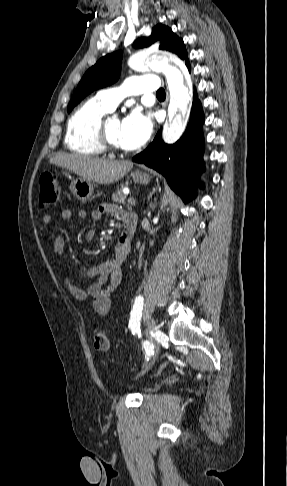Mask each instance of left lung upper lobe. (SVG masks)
<instances>
[{
	"label": "left lung upper lobe",
	"instance_id": "1",
	"mask_svg": "<svg viewBox=\"0 0 287 486\" xmlns=\"http://www.w3.org/2000/svg\"><path fill=\"white\" fill-rule=\"evenodd\" d=\"M158 40H161L159 49L175 53L181 59L187 58L183 40L176 36L169 27L162 24L156 25L149 37L137 39L134 42V47H148ZM121 56L120 51L108 54L100 58L94 66L86 71L68 104V112L94 90L108 86L118 80L121 70Z\"/></svg>",
	"mask_w": 287,
	"mask_h": 486
}]
</instances>
